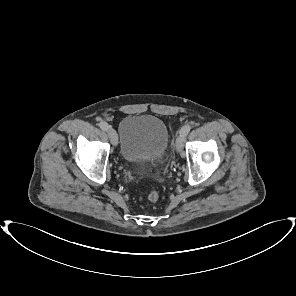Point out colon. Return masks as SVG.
Instances as JSON below:
<instances>
[{
	"instance_id": "obj_1",
	"label": "colon",
	"mask_w": 296,
	"mask_h": 296,
	"mask_svg": "<svg viewBox=\"0 0 296 296\" xmlns=\"http://www.w3.org/2000/svg\"><path fill=\"white\" fill-rule=\"evenodd\" d=\"M147 197L150 201L155 202L158 200L159 195L158 192L154 189H149L147 193Z\"/></svg>"
}]
</instances>
